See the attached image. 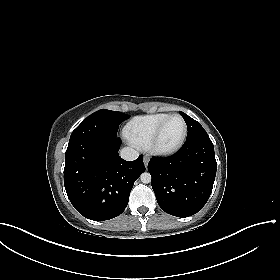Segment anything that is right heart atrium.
<instances>
[{"mask_svg":"<svg viewBox=\"0 0 280 280\" xmlns=\"http://www.w3.org/2000/svg\"><path fill=\"white\" fill-rule=\"evenodd\" d=\"M133 146H137L133 141L129 140Z\"/></svg>","mask_w":280,"mask_h":280,"instance_id":"d8ad5b80","label":"right heart atrium"}]
</instances>
